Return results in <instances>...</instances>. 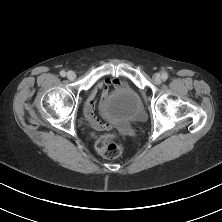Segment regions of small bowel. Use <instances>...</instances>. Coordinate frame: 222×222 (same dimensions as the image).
<instances>
[{"label": "small bowel", "mask_w": 222, "mask_h": 222, "mask_svg": "<svg viewBox=\"0 0 222 222\" xmlns=\"http://www.w3.org/2000/svg\"><path fill=\"white\" fill-rule=\"evenodd\" d=\"M124 85V82L114 76H107L103 78L98 84L92 89L84 107L85 117L90 125L97 131H107L111 128V125L106 122H102L95 115L96 99L100 96V108L101 111L110 95L111 87L120 88Z\"/></svg>", "instance_id": "obj_1"}]
</instances>
